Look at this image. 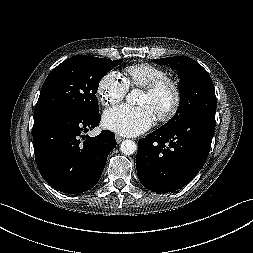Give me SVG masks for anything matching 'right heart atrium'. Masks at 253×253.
I'll return each instance as SVG.
<instances>
[{"instance_id":"right-heart-atrium-1","label":"right heart atrium","mask_w":253,"mask_h":253,"mask_svg":"<svg viewBox=\"0 0 253 253\" xmlns=\"http://www.w3.org/2000/svg\"><path fill=\"white\" fill-rule=\"evenodd\" d=\"M127 91L128 87L123 78L114 71L107 72L97 86L98 99L105 107L114 106L121 102Z\"/></svg>"}]
</instances>
